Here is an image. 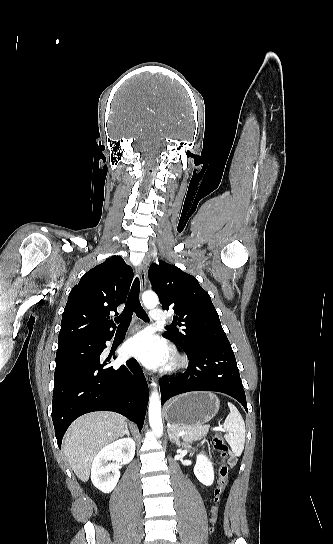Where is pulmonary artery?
Wrapping results in <instances>:
<instances>
[{
  "instance_id": "obj_1",
  "label": "pulmonary artery",
  "mask_w": 333,
  "mask_h": 544,
  "mask_svg": "<svg viewBox=\"0 0 333 544\" xmlns=\"http://www.w3.org/2000/svg\"><path fill=\"white\" fill-rule=\"evenodd\" d=\"M150 318L153 321H164L166 320V315L159 309H152L150 311Z\"/></svg>"
}]
</instances>
